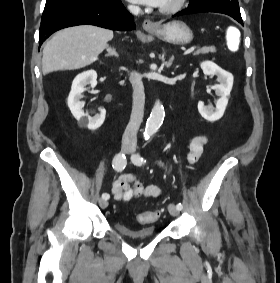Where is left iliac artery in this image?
Wrapping results in <instances>:
<instances>
[{
    "label": "left iliac artery",
    "instance_id": "44dca946",
    "mask_svg": "<svg viewBox=\"0 0 280 283\" xmlns=\"http://www.w3.org/2000/svg\"><path fill=\"white\" fill-rule=\"evenodd\" d=\"M133 163L137 164V165H142L143 163L146 162V160L143 159V157H141L139 154H135V155H132L131 157ZM176 207L181 210L183 208V205L181 203H178L176 205Z\"/></svg>",
    "mask_w": 280,
    "mask_h": 283
}]
</instances>
